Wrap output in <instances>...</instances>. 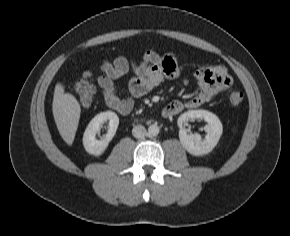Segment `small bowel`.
<instances>
[{"mask_svg": "<svg viewBox=\"0 0 290 236\" xmlns=\"http://www.w3.org/2000/svg\"><path fill=\"white\" fill-rule=\"evenodd\" d=\"M101 74L97 77V84L101 90L107 106L122 114H129L134 107V100L141 97L166 79H177L183 74L177 57L172 52L159 54L155 51H146L140 62L119 56L112 62H104ZM132 72L129 83V96L119 97L115 92V81ZM195 78L199 85L198 92L188 101L174 100L168 103L162 115L165 118L173 117L186 109L198 108L211 101L217 94L231 87L233 80L228 69L223 64H206L197 69Z\"/></svg>", "mask_w": 290, "mask_h": 236, "instance_id": "c3829d8e", "label": "small bowel"}]
</instances>
